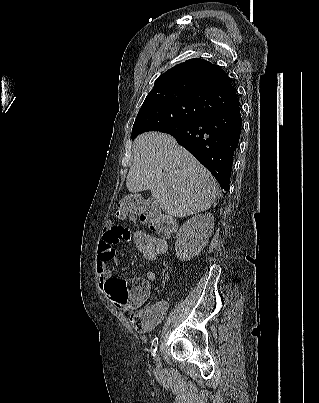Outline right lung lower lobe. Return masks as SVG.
Listing matches in <instances>:
<instances>
[{
    "label": "right lung lower lobe",
    "instance_id": "1",
    "mask_svg": "<svg viewBox=\"0 0 319 403\" xmlns=\"http://www.w3.org/2000/svg\"><path fill=\"white\" fill-rule=\"evenodd\" d=\"M239 106L210 112L190 124L159 130L172 135L179 145L192 153L212 173L224 191L230 187L233 157L241 133Z\"/></svg>",
    "mask_w": 319,
    "mask_h": 403
}]
</instances>
